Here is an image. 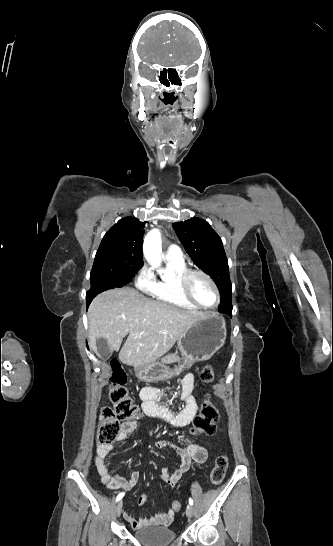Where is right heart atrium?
Masks as SVG:
<instances>
[{
    "label": "right heart atrium",
    "mask_w": 333,
    "mask_h": 546,
    "mask_svg": "<svg viewBox=\"0 0 333 546\" xmlns=\"http://www.w3.org/2000/svg\"><path fill=\"white\" fill-rule=\"evenodd\" d=\"M135 286L143 293L154 295L157 289V281L152 268L144 265L135 276Z\"/></svg>",
    "instance_id": "d8ad5b80"
}]
</instances>
